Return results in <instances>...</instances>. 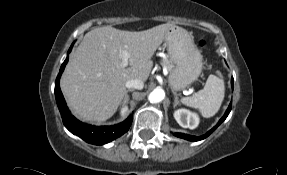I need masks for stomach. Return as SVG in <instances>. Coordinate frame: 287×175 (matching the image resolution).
Masks as SVG:
<instances>
[{
    "instance_id": "stomach-1",
    "label": "stomach",
    "mask_w": 287,
    "mask_h": 175,
    "mask_svg": "<svg viewBox=\"0 0 287 175\" xmlns=\"http://www.w3.org/2000/svg\"><path fill=\"white\" fill-rule=\"evenodd\" d=\"M164 40L173 64L168 78L169 85L173 91L183 90L197 80L202 72L201 52L193 36L182 28L170 29Z\"/></svg>"
}]
</instances>
